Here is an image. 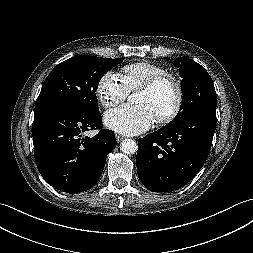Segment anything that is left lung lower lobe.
<instances>
[{"instance_id":"0a47b994","label":"left lung lower lobe","mask_w":253,"mask_h":253,"mask_svg":"<svg viewBox=\"0 0 253 253\" xmlns=\"http://www.w3.org/2000/svg\"><path fill=\"white\" fill-rule=\"evenodd\" d=\"M216 128V114L200 111L172 128L140 138L136 157L141 183L153 192L186 185L205 163Z\"/></svg>"}]
</instances>
